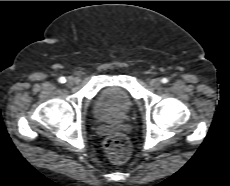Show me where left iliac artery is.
I'll list each match as a JSON object with an SVG mask.
<instances>
[{"label": "left iliac artery", "mask_w": 230, "mask_h": 186, "mask_svg": "<svg viewBox=\"0 0 230 186\" xmlns=\"http://www.w3.org/2000/svg\"><path fill=\"white\" fill-rule=\"evenodd\" d=\"M162 83L166 84L169 80L167 78H162Z\"/></svg>", "instance_id": "obj_1"}]
</instances>
